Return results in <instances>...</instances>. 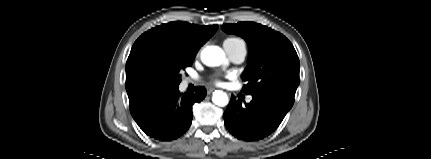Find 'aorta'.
<instances>
[{
    "label": "aorta",
    "instance_id": "1",
    "mask_svg": "<svg viewBox=\"0 0 431 159\" xmlns=\"http://www.w3.org/2000/svg\"><path fill=\"white\" fill-rule=\"evenodd\" d=\"M225 59V54L218 46H207L201 53V60L207 66H218ZM214 104L225 106L228 104V96L223 91H215L212 97Z\"/></svg>",
    "mask_w": 431,
    "mask_h": 159
}]
</instances>
